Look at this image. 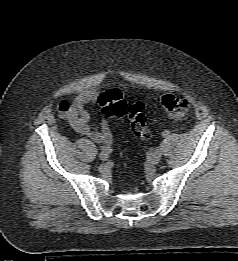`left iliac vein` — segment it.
Listing matches in <instances>:
<instances>
[{
  "label": "left iliac vein",
  "mask_w": 238,
  "mask_h": 261,
  "mask_svg": "<svg viewBox=\"0 0 238 261\" xmlns=\"http://www.w3.org/2000/svg\"><path fill=\"white\" fill-rule=\"evenodd\" d=\"M161 157H162V149L157 148L151 155L150 162L153 164H156L160 161Z\"/></svg>",
  "instance_id": "1"
}]
</instances>
